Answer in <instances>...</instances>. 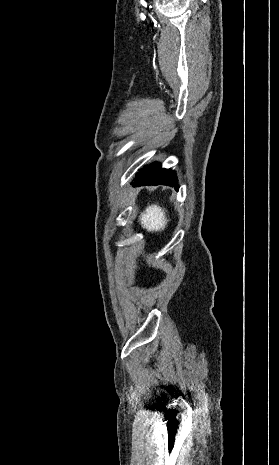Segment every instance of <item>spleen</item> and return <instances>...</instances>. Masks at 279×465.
I'll list each match as a JSON object with an SVG mask.
<instances>
[{
	"mask_svg": "<svg viewBox=\"0 0 279 465\" xmlns=\"http://www.w3.org/2000/svg\"><path fill=\"white\" fill-rule=\"evenodd\" d=\"M140 222L148 231L163 230L167 224L165 212L157 205H151L141 213Z\"/></svg>",
	"mask_w": 279,
	"mask_h": 465,
	"instance_id": "obj_1",
	"label": "spleen"
}]
</instances>
